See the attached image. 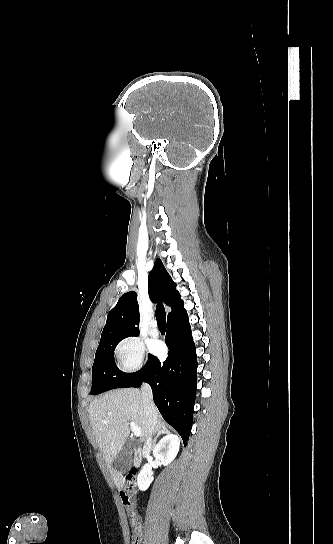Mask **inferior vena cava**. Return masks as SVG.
Returning <instances> with one entry per match:
<instances>
[{
  "mask_svg": "<svg viewBox=\"0 0 333 544\" xmlns=\"http://www.w3.org/2000/svg\"><path fill=\"white\" fill-rule=\"evenodd\" d=\"M141 395L143 400V406L145 411L146 423L150 432V435L144 445V454L148 455L152 449V433L157 423V408L153 402V394L151 387L148 384H143L141 387Z\"/></svg>",
  "mask_w": 333,
  "mask_h": 544,
  "instance_id": "inferior-vena-cava-1",
  "label": "inferior vena cava"
}]
</instances>
